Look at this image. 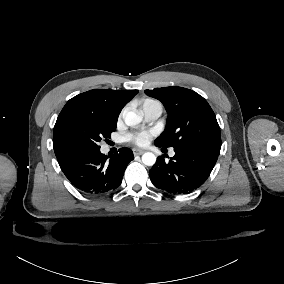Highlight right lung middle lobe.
<instances>
[{"mask_svg":"<svg viewBox=\"0 0 284 284\" xmlns=\"http://www.w3.org/2000/svg\"><path fill=\"white\" fill-rule=\"evenodd\" d=\"M56 124L64 147L80 153L100 149L98 142L110 138L117 121L108 120L85 107L71 106L59 114Z\"/></svg>","mask_w":284,"mask_h":284,"instance_id":"obj_1","label":"right lung middle lobe"}]
</instances>
